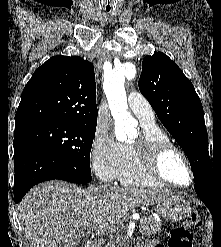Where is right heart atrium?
<instances>
[{"mask_svg": "<svg viewBox=\"0 0 221 247\" xmlns=\"http://www.w3.org/2000/svg\"><path fill=\"white\" fill-rule=\"evenodd\" d=\"M123 145L104 128L99 127L90 145L92 170L104 182L117 179L122 159Z\"/></svg>", "mask_w": 221, "mask_h": 247, "instance_id": "1", "label": "right heart atrium"}]
</instances>
